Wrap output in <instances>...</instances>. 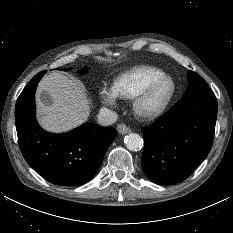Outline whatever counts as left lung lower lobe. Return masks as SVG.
<instances>
[{
	"mask_svg": "<svg viewBox=\"0 0 233 233\" xmlns=\"http://www.w3.org/2000/svg\"><path fill=\"white\" fill-rule=\"evenodd\" d=\"M217 118L211 90L186 95L156 123L143 128L141 165L159 185L185 180L209 154Z\"/></svg>",
	"mask_w": 233,
	"mask_h": 233,
	"instance_id": "0a47b994",
	"label": "left lung lower lobe"
}]
</instances>
